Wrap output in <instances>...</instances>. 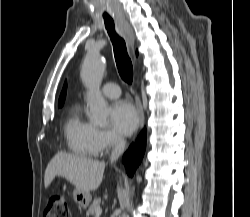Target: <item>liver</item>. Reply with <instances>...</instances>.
I'll list each match as a JSON object with an SVG mask.
<instances>
[{
  "label": "liver",
  "mask_w": 250,
  "mask_h": 217,
  "mask_svg": "<svg viewBox=\"0 0 250 217\" xmlns=\"http://www.w3.org/2000/svg\"><path fill=\"white\" fill-rule=\"evenodd\" d=\"M104 170V162L59 152L47 165L44 185L48 188L56 176H61L79 191L96 190L102 182Z\"/></svg>",
  "instance_id": "liver-1"
}]
</instances>
